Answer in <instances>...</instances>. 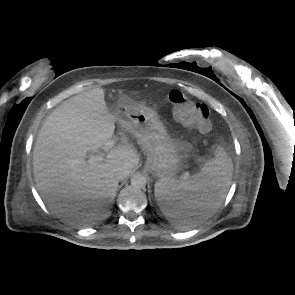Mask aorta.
<instances>
[{
    "label": "aorta",
    "instance_id": "aorta-1",
    "mask_svg": "<svg viewBox=\"0 0 295 295\" xmlns=\"http://www.w3.org/2000/svg\"><path fill=\"white\" fill-rule=\"evenodd\" d=\"M131 185L132 187L136 188V189H141L144 188L147 182L146 177L141 174V173H135L132 177H131Z\"/></svg>",
    "mask_w": 295,
    "mask_h": 295
}]
</instances>
